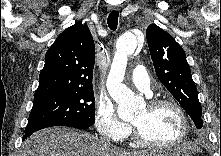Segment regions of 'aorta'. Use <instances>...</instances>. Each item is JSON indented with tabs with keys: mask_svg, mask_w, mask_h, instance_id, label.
I'll use <instances>...</instances> for the list:
<instances>
[{
	"mask_svg": "<svg viewBox=\"0 0 221 156\" xmlns=\"http://www.w3.org/2000/svg\"><path fill=\"white\" fill-rule=\"evenodd\" d=\"M137 36L131 32L123 33L116 42V53L107 78V89L112 99L118 104V115L123 120H130L143 107V100L123 84L128 55L137 47Z\"/></svg>",
	"mask_w": 221,
	"mask_h": 156,
	"instance_id": "obj_1",
	"label": "aorta"
}]
</instances>
